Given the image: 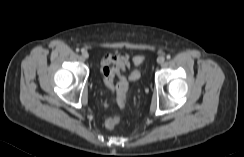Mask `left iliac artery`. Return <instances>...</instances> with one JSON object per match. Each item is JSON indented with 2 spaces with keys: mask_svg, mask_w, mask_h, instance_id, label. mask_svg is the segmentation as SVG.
Segmentation results:
<instances>
[{
  "mask_svg": "<svg viewBox=\"0 0 244 157\" xmlns=\"http://www.w3.org/2000/svg\"><path fill=\"white\" fill-rule=\"evenodd\" d=\"M166 58H167V59H170V58H171V56L168 54V55L166 56Z\"/></svg>",
  "mask_w": 244,
  "mask_h": 157,
  "instance_id": "44dca946",
  "label": "left iliac artery"
}]
</instances>
